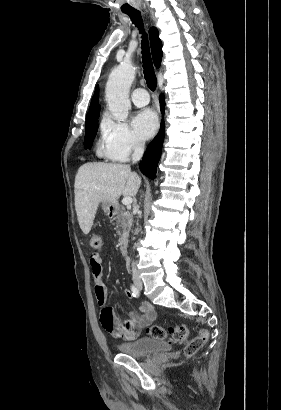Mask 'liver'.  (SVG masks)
Segmentation results:
<instances>
[{
	"instance_id": "liver-1",
	"label": "liver",
	"mask_w": 281,
	"mask_h": 410,
	"mask_svg": "<svg viewBox=\"0 0 281 410\" xmlns=\"http://www.w3.org/2000/svg\"><path fill=\"white\" fill-rule=\"evenodd\" d=\"M141 179L129 165L102 162L83 164L75 177V210L79 226L87 235L101 202L115 204L118 198L135 197Z\"/></svg>"
}]
</instances>
